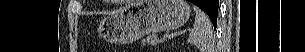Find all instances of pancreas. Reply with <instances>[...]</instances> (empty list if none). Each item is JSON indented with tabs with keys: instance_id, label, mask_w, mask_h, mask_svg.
I'll list each match as a JSON object with an SVG mask.
<instances>
[{
	"instance_id": "obj_1",
	"label": "pancreas",
	"mask_w": 305,
	"mask_h": 52,
	"mask_svg": "<svg viewBox=\"0 0 305 52\" xmlns=\"http://www.w3.org/2000/svg\"><path fill=\"white\" fill-rule=\"evenodd\" d=\"M162 42V40L160 39V37L156 34H152L147 36L145 39L142 40V45H159Z\"/></svg>"
}]
</instances>
